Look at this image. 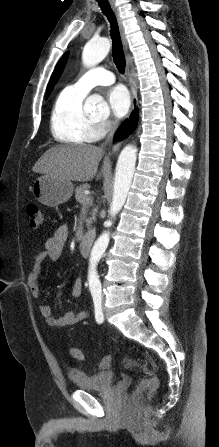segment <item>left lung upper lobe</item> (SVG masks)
<instances>
[{"label": "left lung upper lobe", "instance_id": "left-lung-upper-lobe-1", "mask_svg": "<svg viewBox=\"0 0 219 447\" xmlns=\"http://www.w3.org/2000/svg\"><path fill=\"white\" fill-rule=\"evenodd\" d=\"M66 61V56H64L59 63L57 64L55 70L52 73L51 79L49 81V84L47 86V93H49V91L51 90L52 86L54 85V83L57 81L63 67Z\"/></svg>", "mask_w": 219, "mask_h": 447}]
</instances>
